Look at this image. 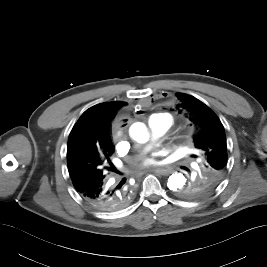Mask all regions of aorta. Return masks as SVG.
I'll use <instances>...</instances> for the list:
<instances>
[{
    "mask_svg": "<svg viewBox=\"0 0 267 267\" xmlns=\"http://www.w3.org/2000/svg\"><path fill=\"white\" fill-rule=\"evenodd\" d=\"M130 136L138 143H145L149 139V134L145 124L136 122L131 125ZM186 183V178L182 173H173L167 182V186L172 191H179Z\"/></svg>",
    "mask_w": 267,
    "mask_h": 267,
    "instance_id": "1",
    "label": "aorta"
}]
</instances>
